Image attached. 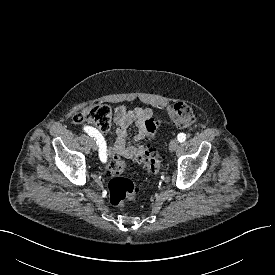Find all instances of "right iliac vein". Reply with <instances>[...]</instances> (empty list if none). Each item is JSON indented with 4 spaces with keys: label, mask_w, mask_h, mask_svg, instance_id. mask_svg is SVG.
Listing matches in <instances>:
<instances>
[{
    "label": "right iliac vein",
    "mask_w": 275,
    "mask_h": 275,
    "mask_svg": "<svg viewBox=\"0 0 275 275\" xmlns=\"http://www.w3.org/2000/svg\"><path fill=\"white\" fill-rule=\"evenodd\" d=\"M91 147L93 151H96L98 149L97 141L95 139L91 140Z\"/></svg>",
    "instance_id": "63e3f726"
}]
</instances>
